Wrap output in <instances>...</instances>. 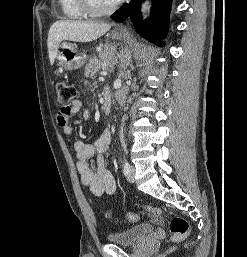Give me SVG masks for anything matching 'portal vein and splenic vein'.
<instances>
[{
	"mask_svg": "<svg viewBox=\"0 0 247 257\" xmlns=\"http://www.w3.org/2000/svg\"><path fill=\"white\" fill-rule=\"evenodd\" d=\"M101 75H102V76H106V75H107V72H102Z\"/></svg>",
	"mask_w": 247,
	"mask_h": 257,
	"instance_id": "18ae733b",
	"label": "portal vein and splenic vein"
}]
</instances>
